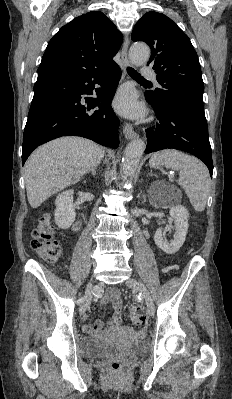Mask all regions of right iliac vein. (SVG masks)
<instances>
[{
    "label": "right iliac vein",
    "mask_w": 232,
    "mask_h": 399,
    "mask_svg": "<svg viewBox=\"0 0 232 399\" xmlns=\"http://www.w3.org/2000/svg\"><path fill=\"white\" fill-rule=\"evenodd\" d=\"M91 286H92V283H89V285L86 287V291L84 293L85 299H88V301H91V296H92ZM88 301L84 300L81 303V308H78V313L80 316H83L85 313V310H88Z\"/></svg>",
    "instance_id": "right-iliac-vein-1"
}]
</instances>
